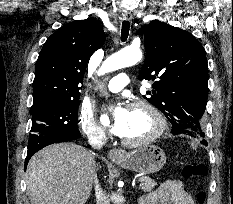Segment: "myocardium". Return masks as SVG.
I'll list each match as a JSON object with an SVG mask.
<instances>
[{
  "label": "myocardium",
  "mask_w": 233,
  "mask_h": 204,
  "mask_svg": "<svg viewBox=\"0 0 233 204\" xmlns=\"http://www.w3.org/2000/svg\"><path fill=\"white\" fill-rule=\"evenodd\" d=\"M135 108H144L146 109L151 116L154 118L155 123H156V128L155 130L148 136L138 139V140H129L125 139L123 137H120L121 142L129 147H140V146H145L153 143L156 141L158 138H160L165 130H166V119L162 112L151 102L144 100V99H138L134 100L129 103L128 109H135Z\"/></svg>",
  "instance_id": "myocardium-1"
}]
</instances>
